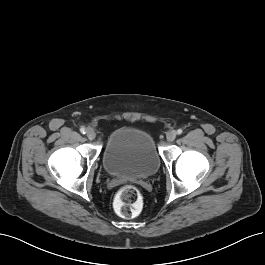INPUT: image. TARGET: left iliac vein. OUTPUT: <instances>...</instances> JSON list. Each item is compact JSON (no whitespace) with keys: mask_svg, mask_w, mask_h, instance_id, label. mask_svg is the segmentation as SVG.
Returning <instances> with one entry per match:
<instances>
[{"mask_svg":"<svg viewBox=\"0 0 265 265\" xmlns=\"http://www.w3.org/2000/svg\"><path fill=\"white\" fill-rule=\"evenodd\" d=\"M176 136H177V132L176 131H170L168 134H167V136H166V138H167V141L168 142H172V141H174L175 140V138H176Z\"/></svg>","mask_w":265,"mask_h":265,"instance_id":"left-iliac-vein-1","label":"left iliac vein"}]
</instances>
